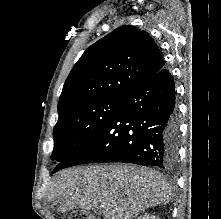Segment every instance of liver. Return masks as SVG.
I'll list each match as a JSON object with an SVG mask.
<instances>
[{"mask_svg": "<svg viewBox=\"0 0 221 219\" xmlns=\"http://www.w3.org/2000/svg\"><path fill=\"white\" fill-rule=\"evenodd\" d=\"M171 191L157 171L116 164L59 172L50 197L57 212L102 209L104 219H133L149 207L166 205Z\"/></svg>", "mask_w": 221, "mask_h": 219, "instance_id": "1", "label": "liver"}]
</instances>
